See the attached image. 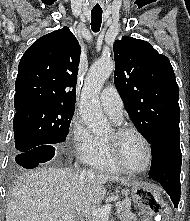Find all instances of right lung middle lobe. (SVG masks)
<instances>
[{
  "label": "right lung middle lobe",
  "mask_w": 190,
  "mask_h": 221,
  "mask_svg": "<svg viewBox=\"0 0 190 221\" xmlns=\"http://www.w3.org/2000/svg\"><path fill=\"white\" fill-rule=\"evenodd\" d=\"M74 108L40 105L16 112L13 120L15 147L22 153L46 144L64 142Z\"/></svg>",
  "instance_id": "right-lung-middle-lobe-1"
}]
</instances>
